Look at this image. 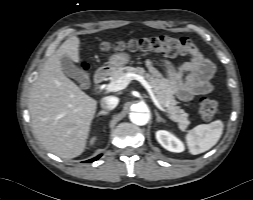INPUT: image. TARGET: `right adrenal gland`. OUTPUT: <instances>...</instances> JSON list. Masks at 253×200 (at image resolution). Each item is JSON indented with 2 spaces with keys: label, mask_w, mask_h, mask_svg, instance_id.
Segmentation results:
<instances>
[{
  "label": "right adrenal gland",
  "mask_w": 253,
  "mask_h": 200,
  "mask_svg": "<svg viewBox=\"0 0 253 200\" xmlns=\"http://www.w3.org/2000/svg\"><path fill=\"white\" fill-rule=\"evenodd\" d=\"M109 112L108 111H105V110H101L97 116H100V115H107Z\"/></svg>",
  "instance_id": "2a0ac1e0"
}]
</instances>
